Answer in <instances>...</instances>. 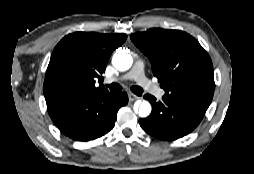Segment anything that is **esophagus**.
<instances>
[{
    "mask_svg": "<svg viewBox=\"0 0 254 174\" xmlns=\"http://www.w3.org/2000/svg\"><path fill=\"white\" fill-rule=\"evenodd\" d=\"M128 98H129V101H130V102H133V101L139 99V97L136 96V95L133 94V93H129V94H128Z\"/></svg>",
    "mask_w": 254,
    "mask_h": 174,
    "instance_id": "obj_1",
    "label": "esophagus"
}]
</instances>
